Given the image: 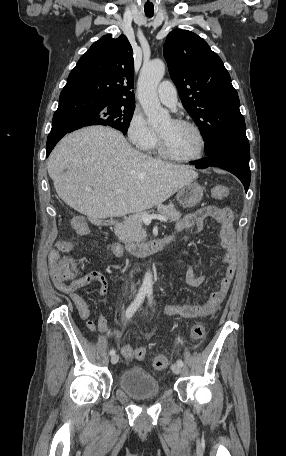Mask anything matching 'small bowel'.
<instances>
[{
    "mask_svg": "<svg viewBox=\"0 0 286 456\" xmlns=\"http://www.w3.org/2000/svg\"><path fill=\"white\" fill-rule=\"evenodd\" d=\"M209 220H214L221 225V240L222 247L226 253L223 258V263L226 266L224 277L221 279L218 289L215 290L209 299L202 304H185V305H165L163 311L165 314L173 317H182L188 319H198L209 316L216 312L227 294L236 271L238 248L236 245V236L233 229L232 221L233 214L228 207L205 206L198 209L194 213L186 214L176 222V231L178 238L183 239L187 231L200 232L204 229L205 224ZM77 241L74 239H63L57 244V250L50 254L51 277L54 286L61 292L67 294L77 309L80 317L87 320V327L94 331L96 326L100 331L112 335L117 341L121 339L122 332L118 329H113L109 326L106 318L99 315L97 323L90 319V310L84 298L76 292V289L96 284V293L100 296L108 292V281L99 272L91 271L83 278L75 283L74 287H70L65 283L57 281L53 275V267L59 259V252H68L74 248ZM95 244V243H94ZM104 249L114 257L121 258L124 255V250L117 243H106ZM186 281L191 287H199L202 285L206 277L198 273L195 267H191L186 272ZM122 355L126 360H132L134 348L130 345H122L120 347Z\"/></svg>",
    "mask_w": 286,
    "mask_h": 456,
    "instance_id": "small-bowel-1",
    "label": "small bowel"
}]
</instances>
